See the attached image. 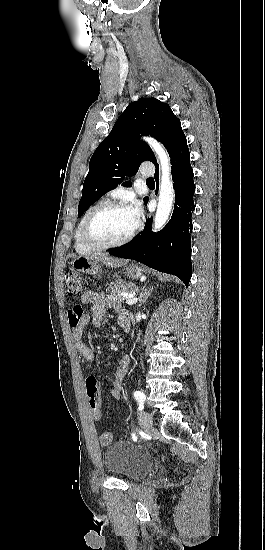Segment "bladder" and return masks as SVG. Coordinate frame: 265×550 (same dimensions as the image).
<instances>
[{
	"instance_id": "obj_1",
	"label": "bladder",
	"mask_w": 265,
	"mask_h": 550,
	"mask_svg": "<svg viewBox=\"0 0 265 550\" xmlns=\"http://www.w3.org/2000/svg\"><path fill=\"white\" fill-rule=\"evenodd\" d=\"M102 457L108 472L128 480L145 478L153 465L148 451L126 441L109 446Z\"/></svg>"
}]
</instances>
